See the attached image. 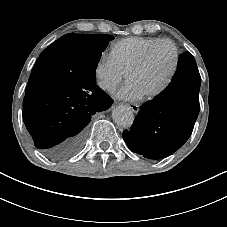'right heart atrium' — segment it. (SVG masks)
Masks as SVG:
<instances>
[{"instance_id": "right-heart-atrium-1", "label": "right heart atrium", "mask_w": 227, "mask_h": 227, "mask_svg": "<svg viewBox=\"0 0 227 227\" xmlns=\"http://www.w3.org/2000/svg\"><path fill=\"white\" fill-rule=\"evenodd\" d=\"M124 77L125 73L113 61L111 56H100L94 68L95 83L100 90L113 93Z\"/></svg>"}]
</instances>
